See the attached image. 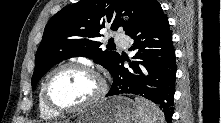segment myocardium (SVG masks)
Wrapping results in <instances>:
<instances>
[{"mask_svg": "<svg viewBox=\"0 0 221 123\" xmlns=\"http://www.w3.org/2000/svg\"><path fill=\"white\" fill-rule=\"evenodd\" d=\"M66 68H79L95 76L98 79L99 84H100L99 90L96 93V95L90 100L84 103L78 104V105L60 106L56 104L49 95V84L51 82V79L57 72ZM41 92H42L43 101L49 109L59 114L71 113V112H77V111L91 108L97 105L99 102H101L107 93V82L104 76L97 69H95L91 64L80 62V61H68V62H65L56 66L47 74L42 84Z\"/></svg>", "mask_w": 221, "mask_h": 123, "instance_id": "obj_1", "label": "myocardium"}]
</instances>
